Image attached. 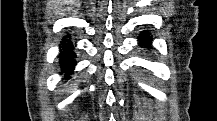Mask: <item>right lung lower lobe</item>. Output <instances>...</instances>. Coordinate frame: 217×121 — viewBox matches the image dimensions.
<instances>
[{
  "label": "right lung lower lobe",
  "instance_id": "1",
  "mask_svg": "<svg viewBox=\"0 0 217 121\" xmlns=\"http://www.w3.org/2000/svg\"><path fill=\"white\" fill-rule=\"evenodd\" d=\"M69 35L67 38L65 37L61 43L62 48H61V54H60V64L62 68V72L65 73V78H68L69 74L71 71L74 69V65L76 64L74 57V51H73V45L72 42L68 39Z\"/></svg>",
  "mask_w": 217,
  "mask_h": 121
}]
</instances>
